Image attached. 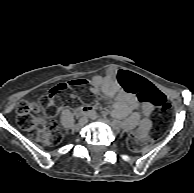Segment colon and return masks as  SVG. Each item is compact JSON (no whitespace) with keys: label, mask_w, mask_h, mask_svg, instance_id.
Returning a JSON list of instances; mask_svg holds the SVG:
<instances>
[{"label":"colon","mask_w":194,"mask_h":193,"mask_svg":"<svg viewBox=\"0 0 194 193\" xmlns=\"http://www.w3.org/2000/svg\"><path fill=\"white\" fill-rule=\"evenodd\" d=\"M119 83L129 92L134 93L142 104L152 103L159 107L163 113L171 110V103L145 79L135 76L127 71H120L117 75ZM89 82L86 80H73L61 83L52 88L47 97H56L66 89H75L86 93ZM44 98L42 102L21 101L16 106V121L18 126L29 133L32 138L41 144L51 146L58 144L62 139V133L54 121L47 120L44 116ZM131 149L138 148L136 139L129 140Z\"/></svg>","instance_id":"colon-1"}]
</instances>
